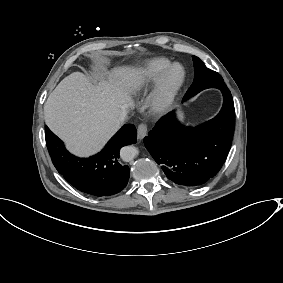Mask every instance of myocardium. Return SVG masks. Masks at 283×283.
Segmentation results:
<instances>
[{
  "instance_id": "1",
  "label": "myocardium",
  "mask_w": 283,
  "mask_h": 283,
  "mask_svg": "<svg viewBox=\"0 0 283 283\" xmlns=\"http://www.w3.org/2000/svg\"><path fill=\"white\" fill-rule=\"evenodd\" d=\"M175 67L181 68V76L172 86L168 87L166 84L167 77ZM186 78V68L179 62L170 63L163 69L155 78L148 96L147 107L149 111L157 115L167 113L183 88Z\"/></svg>"
}]
</instances>
